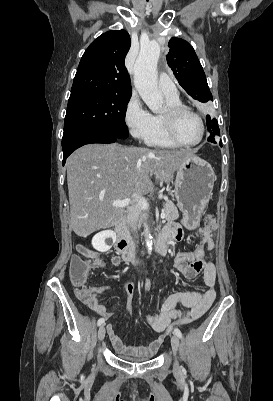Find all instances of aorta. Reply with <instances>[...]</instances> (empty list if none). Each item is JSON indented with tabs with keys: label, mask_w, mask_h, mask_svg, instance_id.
<instances>
[{
	"label": "aorta",
	"mask_w": 273,
	"mask_h": 401,
	"mask_svg": "<svg viewBox=\"0 0 273 401\" xmlns=\"http://www.w3.org/2000/svg\"><path fill=\"white\" fill-rule=\"evenodd\" d=\"M160 46L150 42L141 47L134 65V85L139 95L154 113H159L163 107V96L157 86V62ZM145 244L149 254L153 248V238L147 222H144Z\"/></svg>",
	"instance_id": "762f6f07"
}]
</instances>
